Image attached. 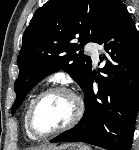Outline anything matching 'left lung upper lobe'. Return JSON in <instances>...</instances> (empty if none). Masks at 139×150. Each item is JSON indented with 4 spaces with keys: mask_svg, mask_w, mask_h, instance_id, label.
Segmentation results:
<instances>
[{
    "mask_svg": "<svg viewBox=\"0 0 139 150\" xmlns=\"http://www.w3.org/2000/svg\"><path fill=\"white\" fill-rule=\"evenodd\" d=\"M116 1L49 0L35 12L17 58L19 77L14 84L17 97L12 113L39 81L60 69L84 88L91 74V60L76 52L84 44L99 40Z\"/></svg>",
    "mask_w": 139,
    "mask_h": 150,
    "instance_id": "1",
    "label": "left lung upper lobe"
}]
</instances>
